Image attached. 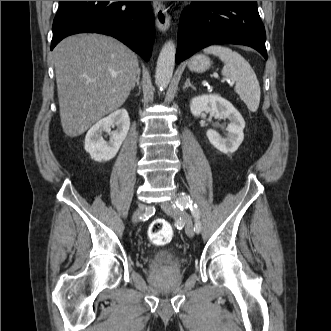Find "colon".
<instances>
[{"mask_svg": "<svg viewBox=\"0 0 331 331\" xmlns=\"http://www.w3.org/2000/svg\"><path fill=\"white\" fill-rule=\"evenodd\" d=\"M148 237L156 245H165L173 237V228L166 220H155L149 226Z\"/></svg>", "mask_w": 331, "mask_h": 331, "instance_id": "5ec220e1", "label": "colon"}]
</instances>
